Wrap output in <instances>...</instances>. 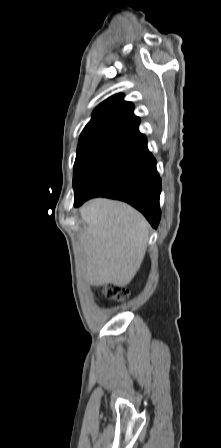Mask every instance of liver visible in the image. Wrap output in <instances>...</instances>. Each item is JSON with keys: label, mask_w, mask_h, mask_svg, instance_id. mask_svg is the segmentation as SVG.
I'll return each mask as SVG.
<instances>
[{"label": "liver", "mask_w": 221, "mask_h": 448, "mask_svg": "<svg viewBox=\"0 0 221 448\" xmlns=\"http://www.w3.org/2000/svg\"><path fill=\"white\" fill-rule=\"evenodd\" d=\"M80 214L87 224L80 240L88 282L118 287L129 284L145 256L146 219L130 205L105 198L89 201Z\"/></svg>", "instance_id": "obj_1"}]
</instances>
